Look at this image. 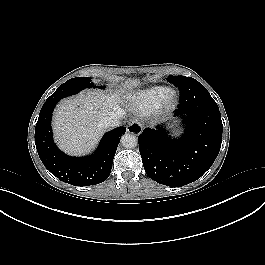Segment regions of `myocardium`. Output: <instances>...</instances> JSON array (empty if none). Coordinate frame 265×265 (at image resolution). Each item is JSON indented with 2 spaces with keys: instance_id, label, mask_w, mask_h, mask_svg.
Instances as JSON below:
<instances>
[{
  "instance_id": "myocardium-1",
  "label": "myocardium",
  "mask_w": 265,
  "mask_h": 265,
  "mask_svg": "<svg viewBox=\"0 0 265 265\" xmlns=\"http://www.w3.org/2000/svg\"><path fill=\"white\" fill-rule=\"evenodd\" d=\"M178 96L175 92L170 91L165 98H163L154 109L153 113L157 115H164L170 112L177 104Z\"/></svg>"
}]
</instances>
